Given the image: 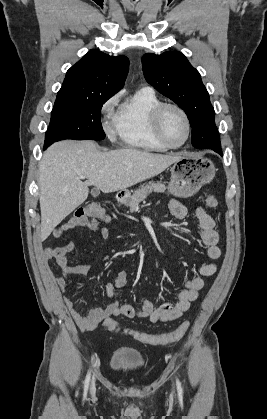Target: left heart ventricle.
<instances>
[{"label":"left heart ventricle","mask_w":267,"mask_h":419,"mask_svg":"<svg viewBox=\"0 0 267 419\" xmlns=\"http://www.w3.org/2000/svg\"><path fill=\"white\" fill-rule=\"evenodd\" d=\"M162 129L166 139L174 145L182 143L185 139V122L175 109L169 108L165 111L162 119Z\"/></svg>","instance_id":"1"}]
</instances>
